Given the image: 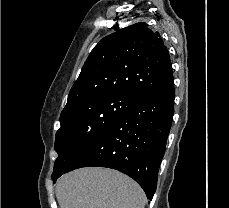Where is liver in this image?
Returning a JSON list of instances; mask_svg holds the SVG:
<instances>
[{
	"label": "liver",
	"instance_id": "obj_1",
	"mask_svg": "<svg viewBox=\"0 0 229 208\" xmlns=\"http://www.w3.org/2000/svg\"><path fill=\"white\" fill-rule=\"evenodd\" d=\"M60 208H144L142 188L116 170L81 168L57 180Z\"/></svg>",
	"mask_w": 229,
	"mask_h": 208
}]
</instances>
